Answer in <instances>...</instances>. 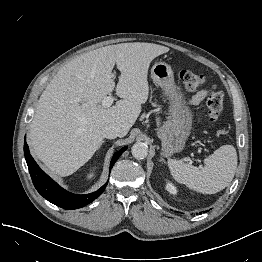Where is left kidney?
Here are the masks:
<instances>
[{
  "instance_id": "obj_1",
  "label": "left kidney",
  "mask_w": 262,
  "mask_h": 262,
  "mask_svg": "<svg viewBox=\"0 0 262 262\" xmlns=\"http://www.w3.org/2000/svg\"><path fill=\"white\" fill-rule=\"evenodd\" d=\"M166 189L172 194H176L177 192L176 188L169 182L166 184Z\"/></svg>"
}]
</instances>
